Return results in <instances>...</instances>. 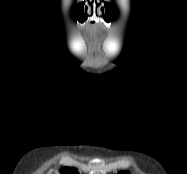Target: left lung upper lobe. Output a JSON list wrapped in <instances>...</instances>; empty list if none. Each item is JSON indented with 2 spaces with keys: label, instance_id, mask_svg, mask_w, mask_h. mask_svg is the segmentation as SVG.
<instances>
[{
  "label": "left lung upper lobe",
  "instance_id": "1",
  "mask_svg": "<svg viewBox=\"0 0 187 174\" xmlns=\"http://www.w3.org/2000/svg\"><path fill=\"white\" fill-rule=\"evenodd\" d=\"M118 174H129L128 172H120Z\"/></svg>",
  "mask_w": 187,
  "mask_h": 174
}]
</instances>
